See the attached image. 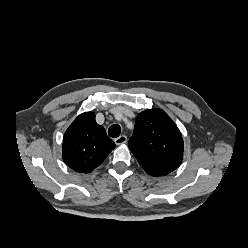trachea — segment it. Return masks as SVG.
I'll return each instance as SVG.
<instances>
[{"instance_id":"obj_1","label":"trachea","mask_w":248,"mask_h":248,"mask_svg":"<svg viewBox=\"0 0 248 248\" xmlns=\"http://www.w3.org/2000/svg\"><path fill=\"white\" fill-rule=\"evenodd\" d=\"M121 128L119 125H111L108 129V134L110 137L116 138L120 135Z\"/></svg>"}]
</instances>
